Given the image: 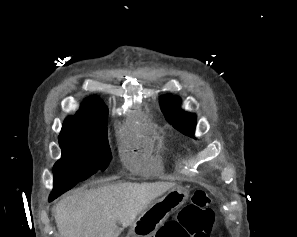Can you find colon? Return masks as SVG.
<instances>
[{
	"mask_svg": "<svg viewBox=\"0 0 297 237\" xmlns=\"http://www.w3.org/2000/svg\"><path fill=\"white\" fill-rule=\"evenodd\" d=\"M213 223L209 196L203 190H196L178 218L164 224L153 237H209Z\"/></svg>",
	"mask_w": 297,
	"mask_h": 237,
	"instance_id": "obj_1",
	"label": "colon"
}]
</instances>
